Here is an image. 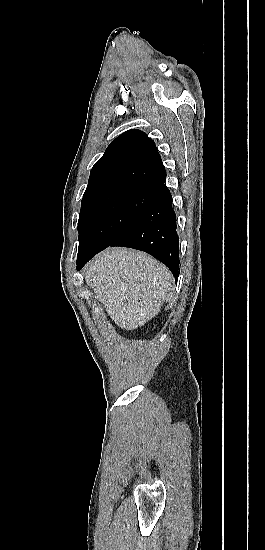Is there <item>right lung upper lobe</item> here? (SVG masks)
I'll list each match as a JSON object with an SVG mask.
<instances>
[{
  "label": "right lung upper lobe",
  "instance_id": "cb5924a9",
  "mask_svg": "<svg viewBox=\"0 0 265 550\" xmlns=\"http://www.w3.org/2000/svg\"><path fill=\"white\" fill-rule=\"evenodd\" d=\"M166 171L153 140L133 129L118 136L90 172L83 200L124 187L159 186Z\"/></svg>",
  "mask_w": 265,
  "mask_h": 550
}]
</instances>
